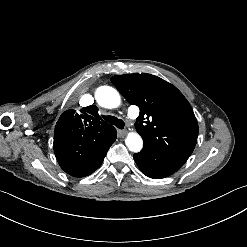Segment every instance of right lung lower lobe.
Returning <instances> with one entry per match:
<instances>
[{
	"instance_id": "right-lung-lower-lobe-1",
	"label": "right lung lower lobe",
	"mask_w": 247,
	"mask_h": 247,
	"mask_svg": "<svg viewBox=\"0 0 247 247\" xmlns=\"http://www.w3.org/2000/svg\"><path fill=\"white\" fill-rule=\"evenodd\" d=\"M107 151L104 152L101 156L87 160L83 163L59 165L66 173H68L71 176L85 177L92 174L96 169H98L101 166Z\"/></svg>"
}]
</instances>
